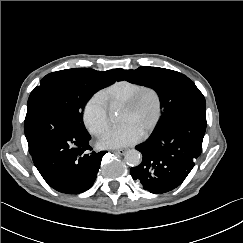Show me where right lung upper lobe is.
I'll return each mask as SVG.
<instances>
[{
	"instance_id": "1",
	"label": "right lung upper lobe",
	"mask_w": 243,
	"mask_h": 243,
	"mask_svg": "<svg viewBox=\"0 0 243 243\" xmlns=\"http://www.w3.org/2000/svg\"><path fill=\"white\" fill-rule=\"evenodd\" d=\"M82 69L86 72H90L108 78L111 80V83L114 82L118 78V76L123 72V69H112L108 71H96L90 68H82Z\"/></svg>"
}]
</instances>
